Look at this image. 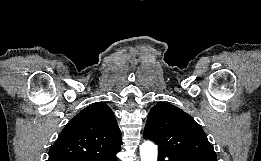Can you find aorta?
Here are the masks:
<instances>
[{"instance_id": "762f6f07", "label": "aorta", "mask_w": 261, "mask_h": 161, "mask_svg": "<svg viewBox=\"0 0 261 161\" xmlns=\"http://www.w3.org/2000/svg\"><path fill=\"white\" fill-rule=\"evenodd\" d=\"M158 148L151 141H145L140 145L141 161H157Z\"/></svg>"}]
</instances>
